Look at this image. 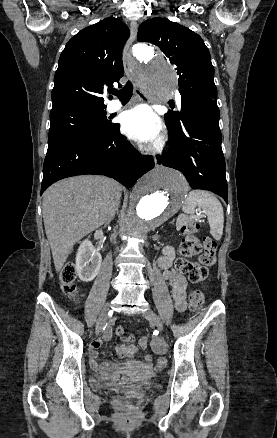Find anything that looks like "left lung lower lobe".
Listing matches in <instances>:
<instances>
[{
  "label": "left lung lower lobe",
  "instance_id": "obj_1",
  "mask_svg": "<svg viewBox=\"0 0 277 438\" xmlns=\"http://www.w3.org/2000/svg\"><path fill=\"white\" fill-rule=\"evenodd\" d=\"M171 136L170 148L158 157V163L181 171L191 188L212 191L228 203L216 100L185 107L180 126Z\"/></svg>",
  "mask_w": 277,
  "mask_h": 438
}]
</instances>
